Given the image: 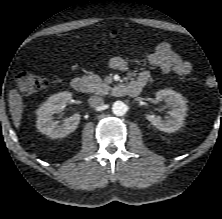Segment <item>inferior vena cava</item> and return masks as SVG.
<instances>
[{
	"mask_svg": "<svg viewBox=\"0 0 222 219\" xmlns=\"http://www.w3.org/2000/svg\"><path fill=\"white\" fill-rule=\"evenodd\" d=\"M89 105L93 108L100 107L104 104V100L99 96H91L88 99Z\"/></svg>",
	"mask_w": 222,
	"mask_h": 219,
	"instance_id": "inferior-vena-cava-1",
	"label": "inferior vena cava"
}]
</instances>
